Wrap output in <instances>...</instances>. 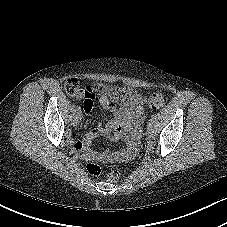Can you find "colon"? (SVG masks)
<instances>
[{
    "label": "colon",
    "instance_id": "5ec220e1",
    "mask_svg": "<svg viewBox=\"0 0 227 227\" xmlns=\"http://www.w3.org/2000/svg\"><path fill=\"white\" fill-rule=\"evenodd\" d=\"M64 88L66 92L70 95H75L79 91L83 90L80 87V84L77 79L71 78L66 80L64 84ZM86 95L88 99L93 100L96 96H107L114 103L125 104L128 103L133 95L134 90L125 88V87H117V86H108L104 84H97L94 86H88L85 89ZM148 106L151 109H159L165 105V98L163 95L159 93L152 94L147 100ZM86 169L91 175H99L101 173V168L98 164L89 163L86 166ZM120 173L117 170H113L108 173L107 180L111 183H115L119 181Z\"/></svg>",
    "mask_w": 227,
    "mask_h": 227
}]
</instances>
